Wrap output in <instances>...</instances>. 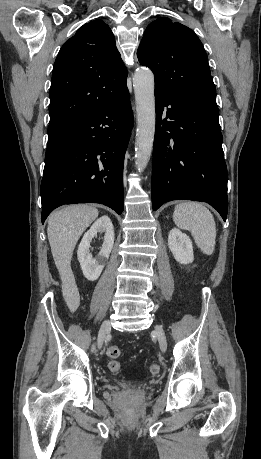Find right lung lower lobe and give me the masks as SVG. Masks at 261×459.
I'll list each match as a JSON object with an SVG mask.
<instances>
[{
  "instance_id": "1",
  "label": "right lung lower lobe",
  "mask_w": 261,
  "mask_h": 459,
  "mask_svg": "<svg viewBox=\"0 0 261 459\" xmlns=\"http://www.w3.org/2000/svg\"><path fill=\"white\" fill-rule=\"evenodd\" d=\"M133 126L128 89L48 144L41 182L42 223L64 204L123 205L124 156Z\"/></svg>"
}]
</instances>
